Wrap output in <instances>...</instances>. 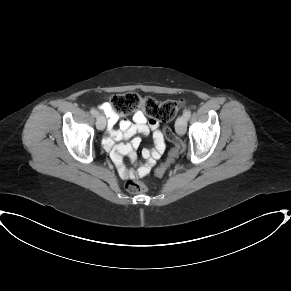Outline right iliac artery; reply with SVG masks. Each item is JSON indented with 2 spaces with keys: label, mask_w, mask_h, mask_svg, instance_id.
Here are the masks:
<instances>
[{
  "label": "right iliac artery",
  "mask_w": 291,
  "mask_h": 291,
  "mask_svg": "<svg viewBox=\"0 0 291 291\" xmlns=\"http://www.w3.org/2000/svg\"><path fill=\"white\" fill-rule=\"evenodd\" d=\"M90 113L95 117L98 116V114H99L98 111L94 108H91Z\"/></svg>",
  "instance_id": "right-iliac-artery-1"
}]
</instances>
